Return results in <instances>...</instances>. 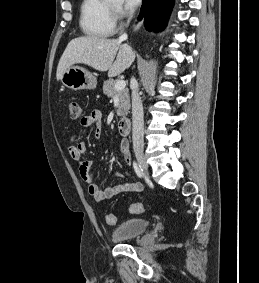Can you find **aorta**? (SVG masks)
<instances>
[{
	"label": "aorta",
	"mask_w": 259,
	"mask_h": 283,
	"mask_svg": "<svg viewBox=\"0 0 259 283\" xmlns=\"http://www.w3.org/2000/svg\"><path fill=\"white\" fill-rule=\"evenodd\" d=\"M106 1L115 2V1H122V0H106Z\"/></svg>",
	"instance_id": "762f6f07"
}]
</instances>
